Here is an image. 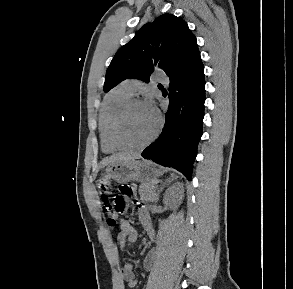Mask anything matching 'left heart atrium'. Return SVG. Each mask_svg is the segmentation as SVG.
I'll use <instances>...</instances> for the list:
<instances>
[{
  "mask_svg": "<svg viewBox=\"0 0 293 289\" xmlns=\"http://www.w3.org/2000/svg\"><path fill=\"white\" fill-rule=\"evenodd\" d=\"M147 106L153 113H155V106L152 102L147 103Z\"/></svg>",
  "mask_w": 293,
  "mask_h": 289,
  "instance_id": "left-heart-atrium-1",
  "label": "left heart atrium"
}]
</instances>
